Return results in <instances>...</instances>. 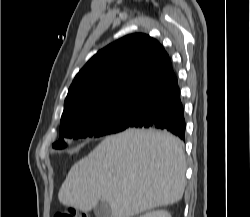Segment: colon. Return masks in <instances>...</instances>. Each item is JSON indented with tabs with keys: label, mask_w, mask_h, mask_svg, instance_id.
Returning a JSON list of instances; mask_svg holds the SVG:
<instances>
[{
	"label": "colon",
	"mask_w": 250,
	"mask_h": 217,
	"mask_svg": "<svg viewBox=\"0 0 250 217\" xmlns=\"http://www.w3.org/2000/svg\"><path fill=\"white\" fill-rule=\"evenodd\" d=\"M54 217H89L86 213L80 212L74 208H66L65 210L58 212Z\"/></svg>",
	"instance_id": "5ec220e1"
}]
</instances>
